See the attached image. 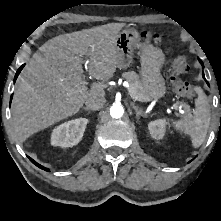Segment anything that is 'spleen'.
Here are the masks:
<instances>
[{"instance_id": "1", "label": "spleen", "mask_w": 221, "mask_h": 221, "mask_svg": "<svg viewBox=\"0 0 221 221\" xmlns=\"http://www.w3.org/2000/svg\"><path fill=\"white\" fill-rule=\"evenodd\" d=\"M195 91L198 97L195 100L194 116L173 121L172 126L176 130L188 134L191 137L192 146L198 148L204 142L210 125V106L202 89L196 87Z\"/></svg>"}]
</instances>
